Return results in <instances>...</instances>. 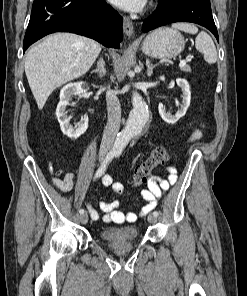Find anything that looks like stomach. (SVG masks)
I'll return each mask as SVG.
<instances>
[{
    "mask_svg": "<svg viewBox=\"0 0 247 296\" xmlns=\"http://www.w3.org/2000/svg\"><path fill=\"white\" fill-rule=\"evenodd\" d=\"M184 47V38L178 31L163 27L146 36L141 50L150 57L171 59L179 55Z\"/></svg>",
    "mask_w": 247,
    "mask_h": 296,
    "instance_id": "1",
    "label": "stomach"
}]
</instances>
